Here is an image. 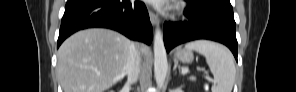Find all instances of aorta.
Instances as JSON below:
<instances>
[{
	"label": "aorta",
	"instance_id": "762f6f07",
	"mask_svg": "<svg viewBox=\"0 0 296 92\" xmlns=\"http://www.w3.org/2000/svg\"><path fill=\"white\" fill-rule=\"evenodd\" d=\"M168 71L166 49L163 42V35L159 29L154 35V75L158 88H162Z\"/></svg>",
	"mask_w": 296,
	"mask_h": 92
}]
</instances>
